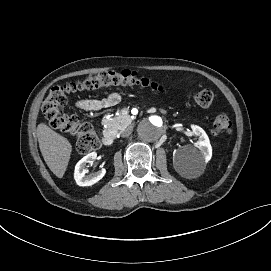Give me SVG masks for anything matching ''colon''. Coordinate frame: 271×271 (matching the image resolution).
Masks as SVG:
<instances>
[{"label":"colon","mask_w":271,"mask_h":271,"mask_svg":"<svg viewBox=\"0 0 271 271\" xmlns=\"http://www.w3.org/2000/svg\"><path fill=\"white\" fill-rule=\"evenodd\" d=\"M141 86L161 92L164 86L145 76L130 70L121 72H98L86 76L84 79L53 87L42 102V111L50 125L65 134L76 135V149L85 155L99 148V139L89 122L77 115L63 112L70 94L82 91H96L109 86ZM191 101L200 106L208 107L214 100V93L210 89H203L190 95ZM232 123L226 113H219L213 120L212 133L214 135L229 134Z\"/></svg>","instance_id":"5ec220e1"}]
</instances>
